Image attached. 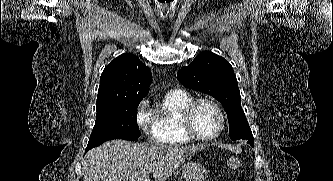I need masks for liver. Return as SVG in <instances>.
<instances>
[{
    "label": "liver",
    "instance_id": "6515ba94",
    "mask_svg": "<svg viewBox=\"0 0 333 181\" xmlns=\"http://www.w3.org/2000/svg\"><path fill=\"white\" fill-rule=\"evenodd\" d=\"M203 146L136 144L111 140L88 151L82 162L84 181H166Z\"/></svg>",
    "mask_w": 333,
    "mask_h": 181
}]
</instances>
